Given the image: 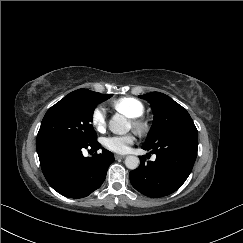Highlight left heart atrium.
Here are the masks:
<instances>
[{
    "label": "left heart atrium",
    "mask_w": 243,
    "mask_h": 243,
    "mask_svg": "<svg viewBox=\"0 0 243 243\" xmlns=\"http://www.w3.org/2000/svg\"><path fill=\"white\" fill-rule=\"evenodd\" d=\"M135 142V137L132 134L127 135H111L104 139V145L107 149L117 152L125 153L130 146Z\"/></svg>",
    "instance_id": "obj_1"
}]
</instances>
